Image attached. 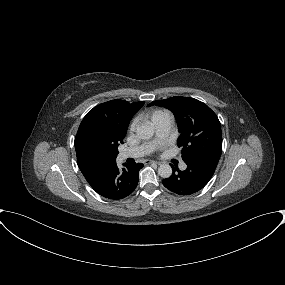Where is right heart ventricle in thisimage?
<instances>
[{
	"label": "right heart ventricle",
	"mask_w": 285,
	"mask_h": 285,
	"mask_svg": "<svg viewBox=\"0 0 285 285\" xmlns=\"http://www.w3.org/2000/svg\"><path fill=\"white\" fill-rule=\"evenodd\" d=\"M168 112L164 110H155L150 114L151 120L153 123H155L161 116L164 114H167Z\"/></svg>",
	"instance_id": "obj_1"
}]
</instances>
